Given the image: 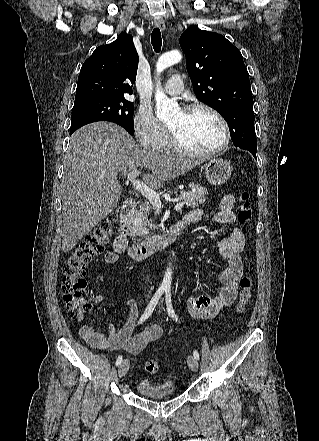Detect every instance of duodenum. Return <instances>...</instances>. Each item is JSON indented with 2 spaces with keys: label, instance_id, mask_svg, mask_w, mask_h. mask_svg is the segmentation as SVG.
I'll list each match as a JSON object with an SVG mask.
<instances>
[{
  "label": "duodenum",
  "instance_id": "410a0bca",
  "mask_svg": "<svg viewBox=\"0 0 319 441\" xmlns=\"http://www.w3.org/2000/svg\"><path fill=\"white\" fill-rule=\"evenodd\" d=\"M136 204H137L136 199L133 197H129L125 200V202L123 203L120 209V213H119L120 230L113 245L114 249L117 252L121 253L126 248V241L129 233L128 222L133 210L136 207ZM182 228H183V224L179 222L171 226L169 229H167L161 234L153 235L141 242L134 244L129 250L130 256L134 260L140 261L147 258L151 254L159 250H162L163 248H165L166 246H168L170 243H172L178 238Z\"/></svg>",
  "mask_w": 319,
  "mask_h": 441
}]
</instances>
